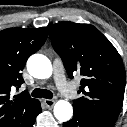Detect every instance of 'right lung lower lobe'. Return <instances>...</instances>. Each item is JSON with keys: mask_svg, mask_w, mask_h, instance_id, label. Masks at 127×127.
<instances>
[{"mask_svg": "<svg viewBox=\"0 0 127 127\" xmlns=\"http://www.w3.org/2000/svg\"><path fill=\"white\" fill-rule=\"evenodd\" d=\"M39 113H41V106H40V102H39ZM31 127H33V125H32Z\"/></svg>", "mask_w": 127, "mask_h": 127, "instance_id": "98d812e1", "label": "right lung lower lobe"}]
</instances>
